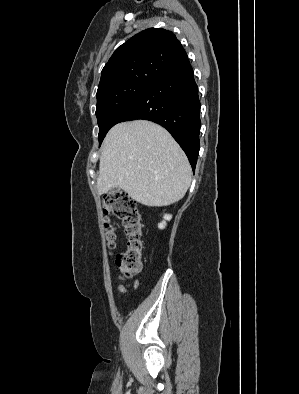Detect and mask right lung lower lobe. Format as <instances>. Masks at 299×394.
<instances>
[{
  "label": "right lung lower lobe",
  "instance_id": "obj_1",
  "mask_svg": "<svg viewBox=\"0 0 299 394\" xmlns=\"http://www.w3.org/2000/svg\"><path fill=\"white\" fill-rule=\"evenodd\" d=\"M136 119L153 121L166 128L195 170L200 149V101L188 58L151 83L117 123Z\"/></svg>",
  "mask_w": 299,
  "mask_h": 394
}]
</instances>
